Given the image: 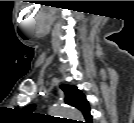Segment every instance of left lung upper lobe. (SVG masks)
<instances>
[{
  "instance_id": "left-lung-upper-lobe-1",
  "label": "left lung upper lobe",
  "mask_w": 134,
  "mask_h": 123,
  "mask_svg": "<svg viewBox=\"0 0 134 123\" xmlns=\"http://www.w3.org/2000/svg\"><path fill=\"white\" fill-rule=\"evenodd\" d=\"M60 87L65 94V103L80 110L83 113L86 121L91 120L89 104L84 94L75 86L63 84ZM33 108L34 106L30 105L26 107L25 110L32 111Z\"/></svg>"
}]
</instances>
